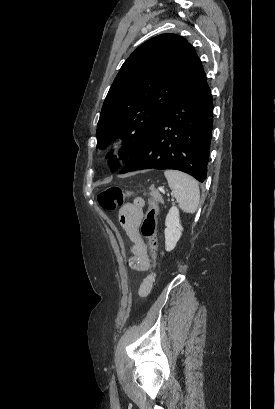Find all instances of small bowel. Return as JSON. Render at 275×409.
<instances>
[{
	"label": "small bowel",
	"mask_w": 275,
	"mask_h": 409,
	"mask_svg": "<svg viewBox=\"0 0 275 409\" xmlns=\"http://www.w3.org/2000/svg\"><path fill=\"white\" fill-rule=\"evenodd\" d=\"M145 200L136 197L132 202L126 203L119 212L120 223L130 240L131 258L130 266L139 272L147 271L151 267V260L145 241L140 234V225L144 216ZM152 282L149 276L143 280L139 294L145 296V290L151 289Z\"/></svg>",
	"instance_id": "c3829d8e"
}]
</instances>
